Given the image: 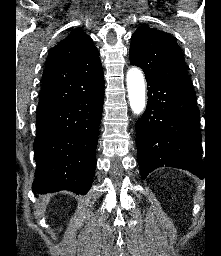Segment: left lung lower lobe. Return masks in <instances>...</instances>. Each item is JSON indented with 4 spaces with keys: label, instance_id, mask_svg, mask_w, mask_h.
Here are the masks:
<instances>
[{
    "label": "left lung lower lobe",
    "instance_id": "1",
    "mask_svg": "<svg viewBox=\"0 0 221 256\" xmlns=\"http://www.w3.org/2000/svg\"><path fill=\"white\" fill-rule=\"evenodd\" d=\"M148 103L136 123L142 179L159 167L186 169L204 178L196 95L190 82L147 79Z\"/></svg>",
    "mask_w": 221,
    "mask_h": 256
}]
</instances>
